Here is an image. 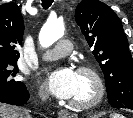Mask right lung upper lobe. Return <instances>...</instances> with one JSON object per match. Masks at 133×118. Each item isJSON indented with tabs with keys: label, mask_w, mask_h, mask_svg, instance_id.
<instances>
[{
	"label": "right lung upper lobe",
	"mask_w": 133,
	"mask_h": 118,
	"mask_svg": "<svg viewBox=\"0 0 133 118\" xmlns=\"http://www.w3.org/2000/svg\"><path fill=\"white\" fill-rule=\"evenodd\" d=\"M24 22L18 5L5 3L0 5V62H17L21 45Z\"/></svg>",
	"instance_id": "obj_1"
}]
</instances>
